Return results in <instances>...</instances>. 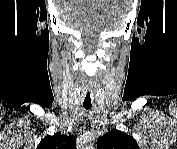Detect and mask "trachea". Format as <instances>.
<instances>
[{
    "instance_id": "3493384b",
    "label": "trachea",
    "mask_w": 177,
    "mask_h": 149,
    "mask_svg": "<svg viewBox=\"0 0 177 149\" xmlns=\"http://www.w3.org/2000/svg\"><path fill=\"white\" fill-rule=\"evenodd\" d=\"M87 96L90 98V94H87L86 97H87ZM91 106H92L91 103H85V101H84V103H83V107H84L85 109H90Z\"/></svg>"
}]
</instances>
